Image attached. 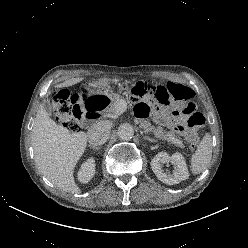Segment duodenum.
Returning <instances> with one entry per match:
<instances>
[{
	"mask_svg": "<svg viewBox=\"0 0 248 248\" xmlns=\"http://www.w3.org/2000/svg\"><path fill=\"white\" fill-rule=\"evenodd\" d=\"M85 120H88V121H94V120H97L98 119V115L95 114V113H92L90 111H85L84 110V116Z\"/></svg>",
	"mask_w": 248,
	"mask_h": 248,
	"instance_id": "obj_1",
	"label": "duodenum"
}]
</instances>
